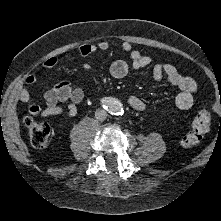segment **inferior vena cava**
<instances>
[{"label":"inferior vena cava","mask_w":221,"mask_h":221,"mask_svg":"<svg viewBox=\"0 0 221 221\" xmlns=\"http://www.w3.org/2000/svg\"><path fill=\"white\" fill-rule=\"evenodd\" d=\"M95 117L99 121H104L107 117V112L104 109H97L95 112Z\"/></svg>","instance_id":"obj_1"}]
</instances>
